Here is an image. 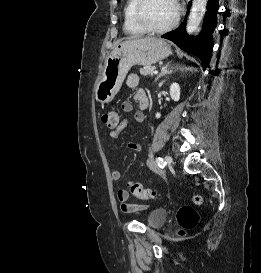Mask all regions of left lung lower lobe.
Here are the masks:
<instances>
[{"mask_svg":"<svg viewBox=\"0 0 261 273\" xmlns=\"http://www.w3.org/2000/svg\"><path fill=\"white\" fill-rule=\"evenodd\" d=\"M190 6L191 2L188 5V9ZM218 8V0H208L207 12L200 35L196 37L187 36L185 32V17V20L179 29L166 33L161 37L173 41L182 50L198 56L201 59L205 70L211 58L213 48L212 33L217 23L216 15Z\"/></svg>","mask_w":261,"mask_h":273,"instance_id":"left-lung-lower-lobe-1","label":"left lung lower lobe"}]
</instances>
